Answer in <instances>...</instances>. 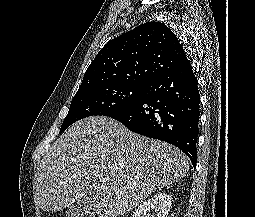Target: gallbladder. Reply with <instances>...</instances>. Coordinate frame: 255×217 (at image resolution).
I'll use <instances>...</instances> for the list:
<instances>
[{
  "label": "gallbladder",
  "mask_w": 255,
  "mask_h": 217,
  "mask_svg": "<svg viewBox=\"0 0 255 217\" xmlns=\"http://www.w3.org/2000/svg\"><path fill=\"white\" fill-rule=\"evenodd\" d=\"M66 217H91L95 215L93 203L89 199L79 201L66 210Z\"/></svg>",
  "instance_id": "1"
}]
</instances>
